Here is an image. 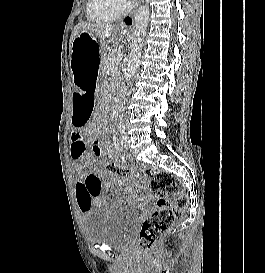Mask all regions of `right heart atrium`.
<instances>
[{"label":"right heart atrium","instance_id":"1","mask_svg":"<svg viewBox=\"0 0 265 273\" xmlns=\"http://www.w3.org/2000/svg\"><path fill=\"white\" fill-rule=\"evenodd\" d=\"M130 0H110L111 4L118 10H124Z\"/></svg>","mask_w":265,"mask_h":273}]
</instances>
